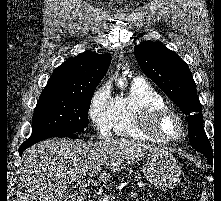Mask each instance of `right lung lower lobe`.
<instances>
[{"label": "right lung lower lobe", "mask_w": 221, "mask_h": 201, "mask_svg": "<svg viewBox=\"0 0 221 201\" xmlns=\"http://www.w3.org/2000/svg\"><path fill=\"white\" fill-rule=\"evenodd\" d=\"M59 136H64V137H70V138H78L76 133L72 132H46L43 134H39L37 136H31L28 140H26L19 148V154L21 155L22 152L27 149L28 147L38 143L41 140L47 139V138H52V137H59Z\"/></svg>", "instance_id": "right-lung-lower-lobe-1"}]
</instances>
